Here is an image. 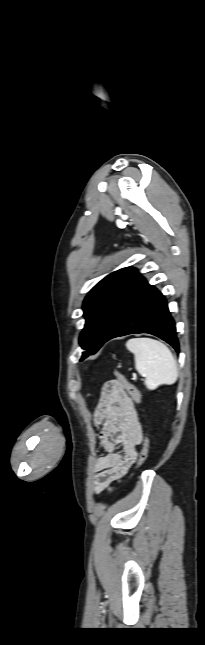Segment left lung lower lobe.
Listing matches in <instances>:
<instances>
[{
	"label": "left lung lower lobe",
	"instance_id": "0a47b994",
	"mask_svg": "<svg viewBox=\"0 0 205 645\" xmlns=\"http://www.w3.org/2000/svg\"><path fill=\"white\" fill-rule=\"evenodd\" d=\"M137 333L155 335L179 352L175 322L165 297L133 268L113 305L103 344Z\"/></svg>",
	"mask_w": 205,
	"mask_h": 645
}]
</instances>
